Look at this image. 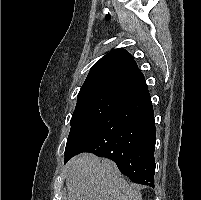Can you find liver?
I'll use <instances>...</instances> for the list:
<instances>
[{"mask_svg":"<svg viewBox=\"0 0 201 200\" xmlns=\"http://www.w3.org/2000/svg\"><path fill=\"white\" fill-rule=\"evenodd\" d=\"M67 200H142L114 163L83 153L67 165Z\"/></svg>","mask_w":201,"mask_h":200,"instance_id":"6515ba94","label":"liver"}]
</instances>
